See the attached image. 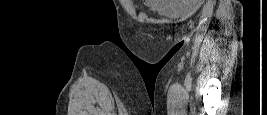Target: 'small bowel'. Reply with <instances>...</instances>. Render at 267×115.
I'll return each mask as SVG.
<instances>
[{"mask_svg":"<svg viewBox=\"0 0 267 115\" xmlns=\"http://www.w3.org/2000/svg\"><path fill=\"white\" fill-rule=\"evenodd\" d=\"M145 2L152 11L168 16L186 15L198 6V1L195 0H146Z\"/></svg>","mask_w":267,"mask_h":115,"instance_id":"c3829d8e","label":"small bowel"}]
</instances>
